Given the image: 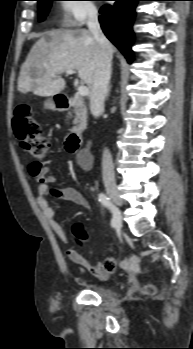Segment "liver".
<instances>
[{
	"label": "liver",
	"instance_id": "liver-1",
	"mask_svg": "<svg viewBox=\"0 0 193 349\" xmlns=\"http://www.w3.org/2000/svg\"><path fill=\"white\" fill-rule=\"evenodd\" d=\"M111 50L113 54L112 45ZM98 55L99 45L89 30L48 31L33 45L22 64L18 90L44 97L57 95L66 85L61 74L75 69L91 95Z\"/></svg>",
	"mask_w": 193,
	"mask_h": 349
}]
</instances>
